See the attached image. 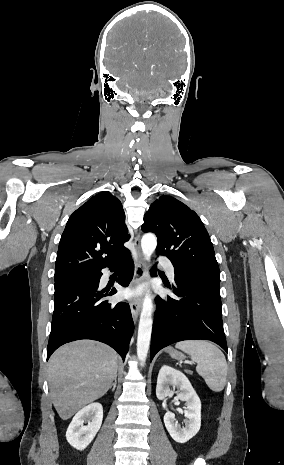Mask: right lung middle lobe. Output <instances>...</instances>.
Wrapping results in <instances>:
<instances>
[{"mask_svg": "<svg viewBox=\"0 0 284 465\" xmlns=\"http://www.w3.org/2000/svg\"><path fill=\"white\" fill-rule=\"evenodd\" d=\"M92 276H94V275H86V276H81V277H77V278H71V279L55 281V289H57V288H59V287H61L63 285H66L68 283L83 280V279H87V278H90Z\"/></svg>", "mask_w": 284, "mask_h": 465, "instance_id": "1", "label": "right lung middle lobe"}]
</instances>
